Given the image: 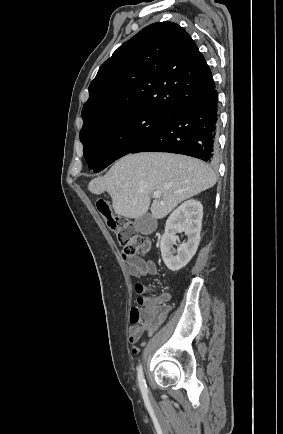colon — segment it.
I'll list each match as a JSON object with an SVG mask.
<instances>
[{"mask_svg":"<svg viewBox=\"0 0 283 434\" xmlns=\"http://www.w3.org/2000/svg\"><path fill=\"white\" fill-rule=\"evenodd\" d=\"M97 209L107 226L115 232L124 255L136 256L149 250L150 241L140 235L127 218L114 214L108 202L99 200ZM137 290L139 293L143 292V285L138 284ZM138 303L139 305L130 311V323L132 325L142 324L146 330L153 331L165 310L151 302L146 303L142 297L139 298Z\"/></svg>","mask_w":283,"mask_h":434,"instance_id":"1","label":"colon"}]
</instances>
